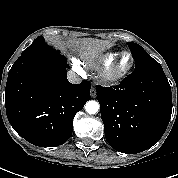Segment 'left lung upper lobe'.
I'll return each mask as SVG.
<instances>
[{
    "instance_id": "1",
    "label": "left lung upper lobe",
    "mask_w": 178,
    "mask_h": 178,
    "mask_svg": "<svg viewBox=\"0 0 178 178\" xmlns=\"http://www.w3.org/2000/svg\"><path fill=\"white\" fill-rule=\"evenodd\" d=\"M127 44L135 61L136 68L134 71L140 70L144 67L159 64L140 45L133 42H128Z\"/></svg>"
}]
</instances>
